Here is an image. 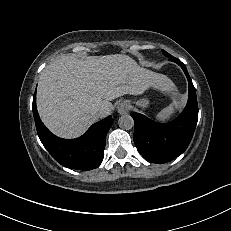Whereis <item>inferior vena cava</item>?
<instances>
[{
    "label": "inferior vena cava",
    "instance_id": "obj_1",
    "mask_svg": "<svg viewBox=\"0 0 231 231\" xmlns=\"http://www.w3.org/2000/svg\"><path fill=\"white\" fill-rule=\"evenodd\" d=\"M97 115L100 118L105 117L107 115V111L104 108H100L97 111Z\"/></svg>",
    "mask_w": 231,
    "mask_h": 231
}]
</instances>
